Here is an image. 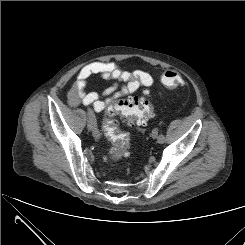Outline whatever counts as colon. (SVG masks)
I'll return each instance as SVG.
<instances>
[{"mask_svg":"<svg viewBox=\"0 0 245 245\" xmlns=\"http://www.w3.org/2000/svg\"><path fill=\"white\" fill-rule=\"evenodd\" d=\"M161 80L167 88H176L182 81L180 74L174 70L165 71ZM152 115L153 108L148 91H144L141 96L119 99L109 106L105 113L103 128L111 141V147L104 159H119L129 154V137L120 130L117 116L130 126L141 127Z\"/></svg>","mask_w":245,"mask_h":245,"instance_id":"1","label":"colon"}]
</instances>
